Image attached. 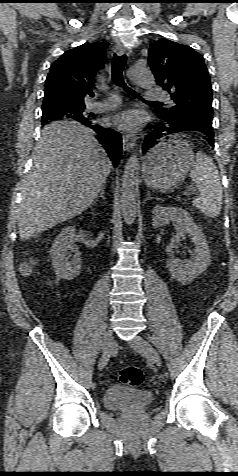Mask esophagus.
Instances as JSON below:
<instances>
[{"instance_id":"esophagus-1","label":"esophagus","mask_w":238,"mask_h":476,"mask_svg":"<svg viewBox=\"0 0 238 476\" xmlns=\"http://www.w3.org/2000/svg\"><path fill=\"white\" fill-rule=\"evenodd\" d=\"M115 52L118 55H123L124 53L129 55V53H130L121 44L116 45ZM135 144H136V137H134L132 135H124L123 136V150L124 151L131 150L135 146Z\"/></svg>"}]
</instances>
